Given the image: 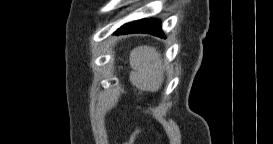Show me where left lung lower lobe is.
Returning a JSON list of instances; mask_svg holds the SVG:
<instances>
[{
  "label": "left lung lower lobe",
  "instance_id": "left-lung-lower-lobe-1",
  "mask_svg": "<svg viewBox=\"0 0 273 144\" xmlns=\"http://www.w3.org/2000/svg\"><path fill=\"white\" fill-rule=\"evenodd\" d=\"M118 33H149L165 38L161 30L160 21L157 19H146L127 23L117 30L116 34Z\"/></svg>",
  "mask_w": 273,
  "mask_h": 144
}]
</instances>
